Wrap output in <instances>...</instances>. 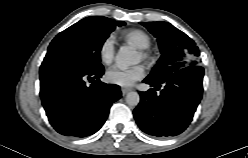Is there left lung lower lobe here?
Listing matches in <instances>:
<instances>
[{"instance_id": "1", "label": "left lung lower lobe", "mask_w": 248, "mask_h": 158, "mask_svg": "<svg viewBox=\"0 0 248 158\" xmlns=\"http://www.w3.org/2000/svg\"><path fill=\"white\" fill-rule=\"evenodd\" d=\"M204 69L191 65L177 70L164 81L144 79L151 88L140 92L133 114L142 131L157 137L176 136L190 124L202 98ZM161 84L164 88L160 93Z\"/></svg>"}]
</instances>
